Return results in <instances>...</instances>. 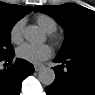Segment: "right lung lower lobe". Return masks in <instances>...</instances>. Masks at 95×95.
Segmentation results:
<instances>
[{
  "label": "right lung lower lobe",
  "mask_w": 95,
  "mask_h": 95,
  "mask_svg": "<svg viewBox=\"0 0 95 95\" xmlns=\"http://www.w3.org/2000/svg\"><path fill=\"white\" fill-rule=\"evenodd\" d=\"M15 53L1 60L11 61ZM34 72V67L23 59H17L9 70H0V95H19L22 81Z\"/></svg>",
  "instance_id": "right-lung-lower-lobe-1"
}]
</instances>
